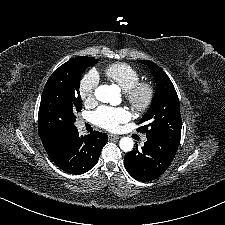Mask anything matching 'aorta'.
I'll return each mask as SVG.
<instances>
[{"label": "aorta", "mask_w": 225, "mask_h": 225, "mask_svg": "<svg viewBox=\"0 0 225 225\" xmlns=\"http://www.w3.org/2000/svg\"><path fill=\"white\" fill-rule=\"evenodd\" d=\"M95 97L98 101L116 105L120 102L119 88L115 85H101L95 90ZM120 149L124 152H130L134 143L130 137H123L119 142Z\"/></svg>", "instance_id": "aorta-1"}]
</instances>
